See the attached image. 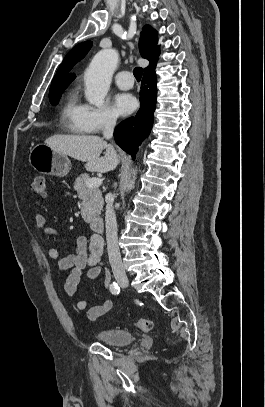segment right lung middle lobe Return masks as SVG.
Wrapping results in <instances>:
<instances>
[{"mask_svg":"<svg viewBox=\"0 0 265 407\" xmlns=\"http://www.w3.org/2000/svg\"><path fill=\"white\" fill-rule=\"evenodd\" d=\"M69 84L70 83L57 84V85H52L50 87L49 100H50L52 105H57L58 104L61 93L66 89V87Z\"/></svg>","mask_w":265,"mask_h":407,"instance_id":"dd1d6c3e","label":"right lung middle lobe"}]
</instances>
